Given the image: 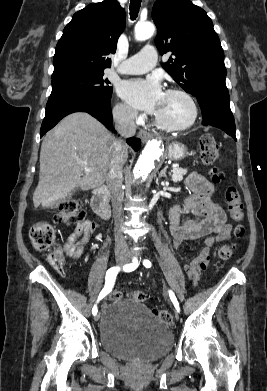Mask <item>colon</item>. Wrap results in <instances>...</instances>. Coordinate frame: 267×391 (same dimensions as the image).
Masks as SVG:
<instances>
[{
  "instance_id": "colon-1",
  "label": "colon",
  "mask_w": 267,
  "mask_h": 391,
  "mask_svg": "<svg viewBox=\"0 0 267 391\" xmlns=\"http://www.w3.org/2000/svg\"><path fill=\"white\" fill-rule=\"evenodd\" d=\"M200 153L203 163L212 165L215 163L219 155V145L210 134H205L200 138ZM211 177L214 183H219L222 180V173L217 168H212ZM225 200L227 203L228 211L231 218L234 221H242L244 218L243 204L241 201L238 190L229 186L225 190ZM82 219L81 203L79 200L70 198L62 201L57 212L54 215V221L62 225H72ZM245 234V228L243 225L238 224L234 228V236L241 238ZM30 239L33 247L39 251L49 250L55 244L56 233L53 226L47 221L36 222L30 229ZM233 254V246L230 244H224L218 249V257L220 262L218 266H221L223 261L230 259ZM50 264L57 270L63 267V256L60 251L54 249L48 255ZM128 298L136 302H144L146 294L142 291L135 290L128 293ZM112 300H118L122 298L120 291L114 290L110 294ZM153 314L158 317L166 325H170L172 322V316L167 310L155 309Z\"/></svg>"
}]
</instances>
